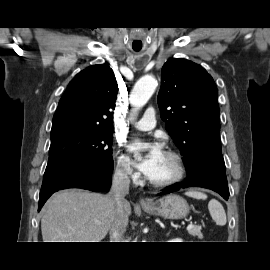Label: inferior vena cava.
<instances>
[{"label": "inferior vena cava", "instance_id": "obj_1", "mask_svg": "<svg viewBox=\"0 0 270 270\" xmlns=\"http://www.w3.org/2000/svg\"><path fill=\"white\" fill-rule=\"evenodd\" d=\"M129 173V167L122 165L115 170L113 175L112 186L109 192V195L113 197L115 202V218L110 229L111 242H121L128 225V216L124 209L127 202L125 196L129 193Z\"/></svg>", "mask_w": 270, "mask_h": 270}]
</instances>
